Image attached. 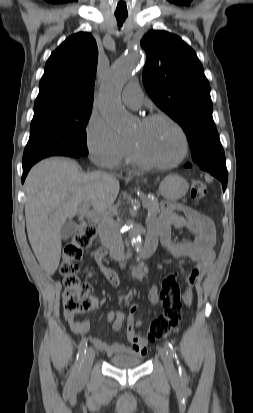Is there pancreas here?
Here are the masks:
<instances>
[{
	"mask_svg": "<svg viewBox=\"0 0 253 413\" xmlns=\"http://www.w3.org/2000/svg\"><path fill=\"white\" fill-rule=\"evenodd\" d=\"M141 199L148 204L147 209L150 214L157 215L160 213L159 203L156 198L151 199L148 196H142Z\"/></svg>",
	"mask_w": 253,
	"mask_h": 413,
	"instance_id": "obj_1",
	"label": "pancreas"
}]
</instances>
